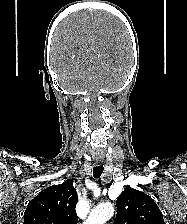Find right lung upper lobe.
<instances>
[{"instance_id": "obj_1", "label": "right lung upper lobe", "mask_w": 187, "mask_h": 224, "mask_svg": "<svg viewBox=\"0 0 187 224\" xmlns=\"http://www.w3.org/2000/svg\"><path fill=\"white\" fill-rule=\"evenodd\" d=\"M78 196L70 180L42 190L28 203L24 224H77Z\"/></svg>"}]
</instances>
